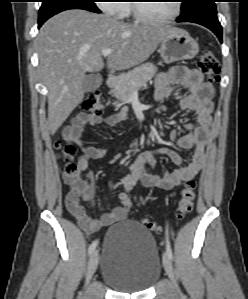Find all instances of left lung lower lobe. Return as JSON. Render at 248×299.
<instances>
[{"label": "left lung lower lobe", "instance_id": "obj_1", "mask_svg": "<svg viewBox=\"0 0 248 299\" xmlns=\"http://www.w3.org/2000/svg\"><path fill=\"white\" fill-rule=\"evenodd\" d=\"M176 21L184 22V20L180 19L179 17L177 18ZM187 21L197 23L207 27L208 29H210L212 32L216 34V36L219 38L220 42L222 43V27L218 21L217 16L207 15V16H201Z\"/></svg>", "mask_w": 248, "mask_h": 299}]
</instances>
